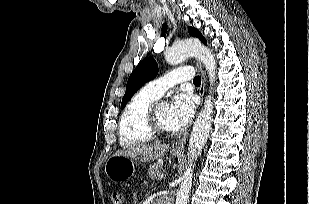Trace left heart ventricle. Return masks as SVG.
Returning <instances> with one entry per match:
<instances>
[{
	"instance_id": "obj_1",
	"label": "left heart ventricle",
	"mask_w": 309,
	"mask_h": 204,
	"mask_svg": "<svg viewBox=\"0 0 309 204\" xmlns=\"http://www.w3.org/2000/svg\"><path fill=\"white\" fill-rule=\"evenodd\" d=\"M169 107L164 104L157 105L156 107V115L159 124L168 130H171L169 125V117H168Z\"/></svg>"
}]
</instances>
